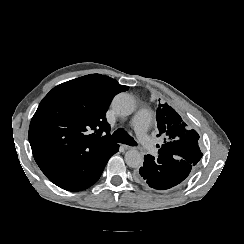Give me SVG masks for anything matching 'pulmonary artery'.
Wrapping results in <instances>:
<instances>
[{
  "instance_id": "obj_1",
  "label": "pulmonary artery",
  "mask_w": 244,
  "mask_h": 244,
  "mask_svg": "<svg viewBox=\"0 0 244 244\" xmlns=\"http://www.w3.org/2000/svg\"><path fill=\"white\" fill-rule=\"evenodd\" d=\"M150 119V112L145 108H139L126 122L127 129L130 132L137 134L138 144L146 149L150 148L152 144L151 139L147 136L146 133V128L150 123Z\"/></svg>"
}]
</instances>
